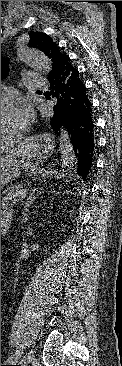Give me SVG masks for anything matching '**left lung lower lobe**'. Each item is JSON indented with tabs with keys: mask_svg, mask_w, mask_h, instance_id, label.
<instances>
[{
	"mask_svg": "<svg viewBox=\"0 0 122 366\" xmlns=\"http://www.w3.org/2000/svg\"><path fill=\"white\" fill-rule=\"evenodd\" d=\"M48 79L51 91L45 97L49 99L51 96L57 100L53 109L55 114L51 118L52 127L58 133L64 125L71 134L78 160L77 174L85 180L91 170L96 148V128L87 89L68 56L62 58Z\"/></svg>",
	"mask_w": 122,
	"mask_h": 366,
	"instance_id": "0a47b994",
	"label": "left lung lower lobe"
}]
</instances>
